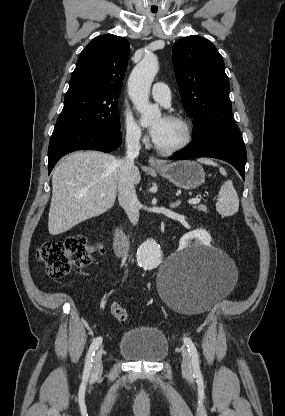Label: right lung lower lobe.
<instances>
[{
    "label": "right lung lower lobe",
    "instance_id": "98d812e1",
    "mask_svg": "<svg viewBox=\"0 0 285 416\" xmlns=\"http://www.w3.org/2000/svg\"><path fill=\"white\" fill-rule=\"evenodd\" d=\"M121 143L120 131L92 129L54 130L48 148V174L64 155L77 150L110 152Z\"/></svg>",
    "mask_w": 285,
    "mask_h": 416
}]
</instances>
